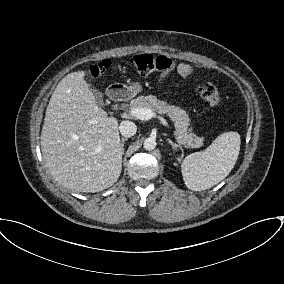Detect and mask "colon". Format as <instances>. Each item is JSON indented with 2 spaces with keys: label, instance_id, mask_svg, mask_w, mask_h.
<instances>
[{
  "label": "colon",
  "instance_id": "5ec220e1",
  "mask_svg": "<svg viewBox=\"0 0 284 284\" xmlns=\"http://www.w3.org/2000/svg\"><path fill=\"white\" fill-rule=\"evenodd\" d=\"M131 65L140 75H149L158 71H166L173 67V62L165 56H153L151 54H138L132 57ZM108 68V63L103 61L90 67L94 76H99ZM196 91L211 106H219L222 103L216 87L208 82H201L197 85Z\"/></svg>",
  "mask_w": 284,
  "mask_h": 284
}]
</instances>
